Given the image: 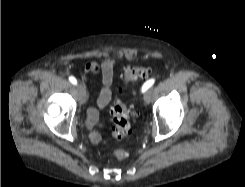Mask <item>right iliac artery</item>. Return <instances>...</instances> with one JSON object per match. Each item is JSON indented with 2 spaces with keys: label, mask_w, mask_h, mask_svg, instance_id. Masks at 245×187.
I'll list each match as a JSON object with an SVG mask.
<instances>
[{
  "label": "right iliac artery",
  "mask_w": 245,
  "mask_h": 187,
  "mask_svg": "<svg viewBox=\"0 0 245 187\" xmlns=\"http://www.w3.org/2000/svg\"><path fill=\"white\" fill-rule=\"evenodd\" d=\"M69 81H70L72 84H74V85L77 84V80H76V78L73 77V76H70V77H69Z\"/></svg>",
  "instance_id": "82829eb1"
}]
</instances>
